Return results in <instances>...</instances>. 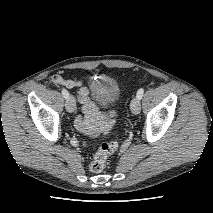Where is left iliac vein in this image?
I'll use <instances>...</instances> for the list:
<instances>
[{"label":"left iliac vein","mask_w":213,"mask_h":213,"mask_svg":"<svg viewBox=\"0 0 213 213\" xmlns=\"http://www.w3.org/2000/svg\"><path fill=\"white\" fill-rule=\"evenodd\" d=\"M130 109L133 114H138L141 110L140 99L138 97H134L130 104Z\"/></svg>","instance_id":"obj_1"}]
</instances>
